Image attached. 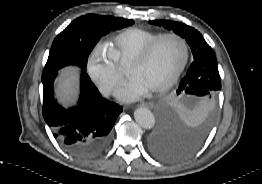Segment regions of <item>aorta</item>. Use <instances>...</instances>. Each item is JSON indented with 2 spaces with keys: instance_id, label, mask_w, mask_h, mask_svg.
Segmentation results:
<instances>
[{
  "instance_id": "aorta-1",
  "label": "aorta",
  "mask_w": 262,
  "mask_h": 184,
  "mask_svg": "<svg viewBox=\"0 0 262 184\" xmlns=\"http://www.w3.org/2000/svg\"><path fill=\"white\" fill-rule=\"evenodd\" d=\"M136 122L144 129H151L155 124L153 113L145 107H139L134 111Z\"/></svg>"
}]
</instances>
